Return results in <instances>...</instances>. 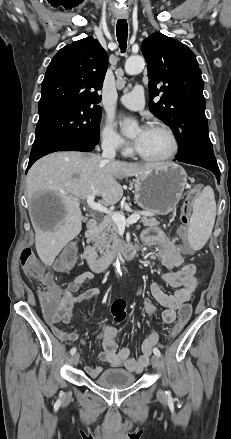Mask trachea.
Masks as SVG:
<instances>
[{
    "label": "trachea",
    "instance_id": "1",
    "mask_svg": "<svg viewBox=\"0 0 231 439\" xmlns=\"http://www.w3.org/2000/svg\"><path fill=\"white\" fill-rule=\"evenodd\" d=\"M116 34L119 43V48L123 53L126 51L127 37H128V24L125 19H120L117 21Z\"/></svg>",
    "mask_w": 231,
    "mask_h": 439
}]
</instances>
